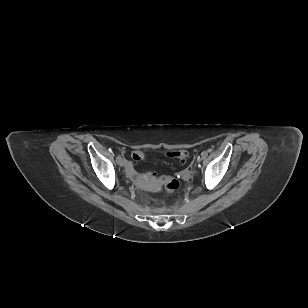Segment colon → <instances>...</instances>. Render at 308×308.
Listing matches in <instances>:
<instances>
[{
	"instance_id": "1",
	"label": "colon",
	"mask_w": 308,
	"mask_h": 308,
	"mask_svg": "<svg viewBox=\"0 0 308 308\" xmlns=\"http://www.w3.org/2000/svg\"><path fill=\"white\" fill-rule=\"evenodd\" d=\"M168 155L170 157H175L181 160H185L187 157V152L184 150H180V151L171 152ZM132 157L134 161L138 162L144 158V154L141 151H136L133 153ZM149 177L153 178L157 183L162 185L165 188V190L169 193H174L179 189L180 185H179L178 180L171 176H164V175L157 176L154 173H150Z\"/></svg>"
}]
</instances>
